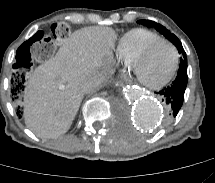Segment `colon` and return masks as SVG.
Instances as JSON below:
<instances>
[{
    "instance_id": "colon-1",
    "label": "colon",
    "mask_w": 215,
    "mask_h": 183,
    "mask_svg": "<svg viewBox=\"0 0 215 183\" xmlns=\"http://www.w3.org/2000/svg\"><path fill=\"white\" fill-rule=\"evenodd\" d=\"M69 35L70 26L65 22H57L51 27V35H47L42 29H37L33 32L32 38L23 43L22 49H15V59L7 62V70L12 83L10 98L13 102L20 103L24 100L25 76L33 63L51 58L55 50L54 41H64Z\"/></svg>"
}]
</instances>
